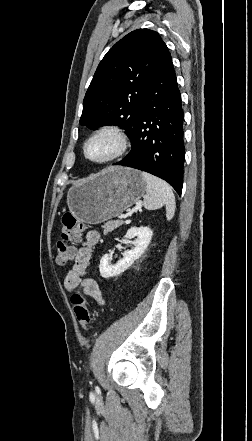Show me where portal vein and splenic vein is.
<instances>
[{
    "label": "portal vein and splenic vein",
    "instance_id": "18ae733b",
    "mask_svg": "<svg viewBox=\"0 0 252 441\" xmlns=\"http://www.w3.org/2000/svg\"><path fill=\"white\" fill-rule=\"evenodd\" d=\"M126 217H127V215L123 214V215L120 216V219H125Z\"/></svg>",
    "mask_w": 252,
    "mask_h": 441
}]
</instances>
